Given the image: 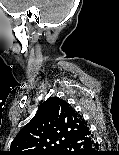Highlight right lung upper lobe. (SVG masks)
I'll return each instance as SVG.
<instances>
[{"label":"right lung upper lobe","instance_id":"obj_1","mask_svg":"<svg viewBox=\"0 0 119 155\" xmlns=\"http://www.w3.org/2000/svg\"><path fill=\"white\" fill-rule=\"evenodd\" d=\"M87 123L65 100L48 98L11 143L7 155H57Z\"/></svg>","mask_w":119,"mask_h":155}]
</instances>
